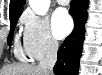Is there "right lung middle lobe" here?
<instances>
[{
	"mask_svg": "<svg viewBox=\"0 0 102 75\" xmlns=\"http://www.w3.org/2000/svg\"><path fill=\"white\" fill-rule=\"evenodd\" d=\"M19 17H20V15H15V16L10 17V25H11V27H10L9 37H8V44H9V46H11L13 32H14V29H15V26H16V23H17Z\"/></svg>",
	"mask_w": 102,
	"mask_h": 75,
	"instance_id": "dd1d6c3e",
	"label": "right lung middle lobe"
}]
</instances>
